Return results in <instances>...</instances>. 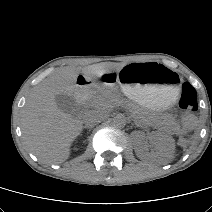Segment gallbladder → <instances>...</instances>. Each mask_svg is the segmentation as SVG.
<instances>
[{
    "instance_id": "gallbladder-1",
    "label": "gallbladder",
    "mask_w": 212,
    "mask_h": 212,
    "mask_svg": "<svg viewBox=\"0 0 212 212\" xmlns=\"http://www.w3.org/2000/svg\"><path fill=\"white\" fill-rule=\"evenodd\" d=\"M57 107L64 113L73 115L77 107V102L72 95L57 94L55 96Z\"/></svg>"
}]
</instances>
